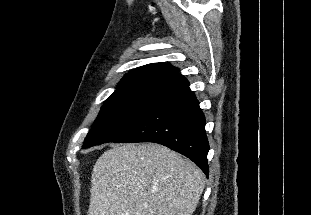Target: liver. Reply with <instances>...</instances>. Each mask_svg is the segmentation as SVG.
I'll return each instance as SVG.
<instances>
[{
  "label": "liver",
  "instance_id": "liver-1",
  "mask_svg": "<svg viewBox=\"0 0 311 215\" xmlns=\"http://www.w3.org/2000/svg\"><path fill=\"white\" fill-rule=\"evenodd\" d=\"M204 187L203 172L165 146L114 145L93 167L88 215H192Z\"/></svg>",
  "mask_w": 311,
  "mask_h": 215
}]
</instances>
